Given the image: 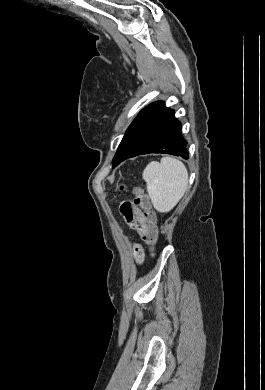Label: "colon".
<instances>
[{
	"label": "colon",
	"instance_id": "5ec220e1",
	"mask_svg": "<svg viewBox=\"0 0 265 390\" xmlns=\"http://www.w3.org/2000/svg\"><path fill=\"white\" fill-rule=\"evenodd\" d=\"M133 194H134V204L137 207H140L141 209L144 210L145 220L147 224L151 226V234L147 240V243L151 248H154L158 240V230L156 227V215L150 207L148 196L145 194L144 190L141 187H134Z\"/></svg>",
	"mask_w": 265,
	"mask_h": 390
}]
</instances>
